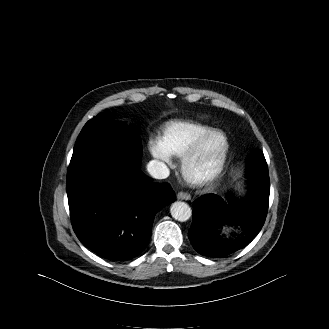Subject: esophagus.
I'll use <instances>...</instances> for the list:
<instances>
[{
    "instance_id": "1",
    "label": "esophagus",
    "mask_w": 329,
    "mask_h": 329,
    "mask_svg": "<svg viewBox=\"0 0 329 329\" xmlns=\"http://www.w3.org/2000/svg\"><path fill=\"white\" fill-rule=\"evenodd\" d=\"M177 198H178L179 200H190V199H191V195L188 194V193L179 192V193L177 194Z\"/></svg>"
}]
</instances>
